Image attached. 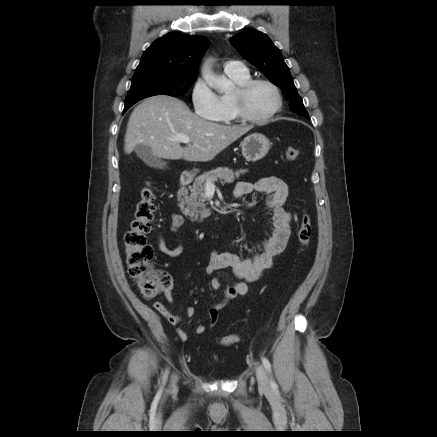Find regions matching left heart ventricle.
<instances>
[{"label":"left heart ventricle","instance_id":"1","mask_svg":"<svg viewBox=\"0 0 437 437\" xmlns=\"http://www.w3.org/2000/svg\"><path fill=\"white\" fill-rule=\"evenodd\" d=\"M273 90L264 84L256 85L247 97V110L256 117L267 115L275 106Z\"/></svg>","mask_w":437,"mask_h":437}]
</instances>
